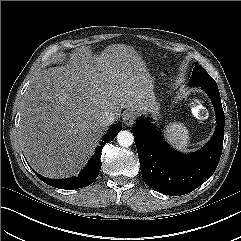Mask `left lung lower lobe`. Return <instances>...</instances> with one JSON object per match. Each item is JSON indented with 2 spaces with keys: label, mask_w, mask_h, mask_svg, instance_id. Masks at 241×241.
Returning <instances> with one entry per match:
<instances>
[{
  "label": "left lung lower lobe",
  "mask_w": 241,
  "mask_h": 241,
  "mask_svg": "<svg viewBox=\"0 0 241 241\" xmlns=\"http://www.w3.org/2000/svg\"><path fill=\"white\" fill-rule=\"evenodd\" d=\"M211 98L217 126L201 150L183 155L170 148L147 119L139 118L132 128L144 182L171 196L187 194L209 178L219 163L224 139V113L218 88L202 87Z\"/></svg>",
  "instance_id": "1"
}]
</instances>
